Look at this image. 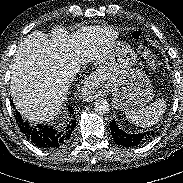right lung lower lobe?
Listing matches in <instances>:
<instances>
[{"mask_svg": "<svg viewBox=\"0 0 183 183\" xmlns=\"http://www.w3.org/2000/svg\"><path fill=\"white\" fill-rule=\"evenodd\" d=\"M11 103H13V101H11ZM68 111L72 119L63 131H57L53 129V127L47 125L31 126L22 119L17 111H15L16 113L14 116L16 117L21 132L32 143L40 148L56 149L68 143L72 131L76 127V121L73 119L75 117L73 108L68 106Z\"/></svg>", "mask_w": 183, "mask_h": 183, "instance_id": "98d812e1", "label": "right lung lower lobe"}]
</instances>
